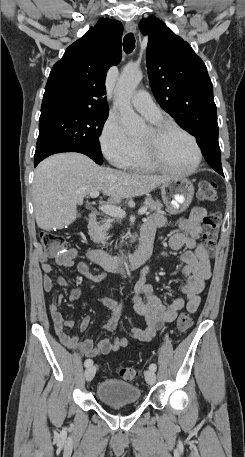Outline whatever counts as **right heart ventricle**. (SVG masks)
I'll use <instances>...</instances> for the list:
<instances>
[{"mask_svg":"<svg viewBox=\"0 0 245 457\" xmlns=\"http://www.w3.org/2000/svg\"><path fill=\"white\" fill-rule=\"evenodd\" d=\"M127 169H148L149 167L142 161L138 153V145L135 143V149L131 156L126 159L122 164Z\"/></svg>","mask_w":245,"mask_h":457,"instance_id":"1","label":"right heart ventricle"}]
</instances>
